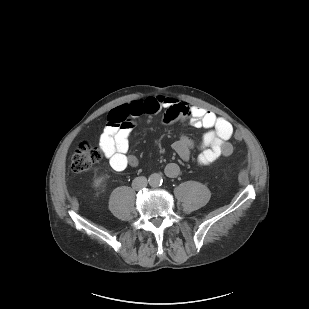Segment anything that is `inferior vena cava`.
Listing matches in <instances>:
<instances>
[{"label": "inferior vena cava", "instance_id": "inferior-vena-cava-1", "mask_svg": "<svg viewBox=\"0 0 309 309\" xmlns=\"http://www.w3.org/2000/svg\"><path fill=\"white\" fill-rule=\"evenodd\" d=\"M147 186V178L144 176L136 177L132 181V187L136 190L142 189Z\"/></svg>", "mask_w": 309, "mask_h": 309}]
</instances>
